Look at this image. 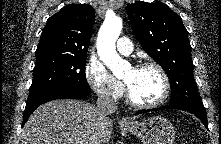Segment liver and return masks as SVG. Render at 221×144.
I'll return each instance as SVG.
<instances>
[{"mask_svg":"<svg viewBox=\"0 0 221 144\" xmlns=\"http://www.w3.org/2000/svg\"><path fill=\"white\" fill-rule=\"evenodd\" d=\"M112 120L79 100H55L38 107L22 129L21 144H107Z\"/></svg>","mask_w":221,"mask_h":144,"instance_id":"1","label":"liver"}]
</instances>
